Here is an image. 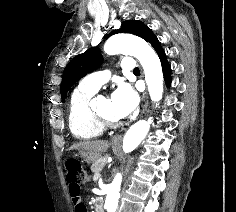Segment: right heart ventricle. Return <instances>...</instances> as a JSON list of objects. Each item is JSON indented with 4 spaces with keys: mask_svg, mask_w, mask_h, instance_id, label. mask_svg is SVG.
I'll list each match as a JSON object with an SVG mask.
<instances>
[{
    "mask_svg": "<svg viewBox=\"0 0 236 212\" xmlns=\"http://www.w3.org/2000/svg\"><path fill=\"white\" fill-rule=\"evenodd\" d=\"M98 89L80 83L72 92L68 107V123L72 134L82 140L101 136L105 128L90 107V100Z\"/></svg>",
    "mask_w": 236,
    "mask_h": 212,
    "instance_id": "obj_1",
    "label": "right heart ventricle"
}]
</instances>
